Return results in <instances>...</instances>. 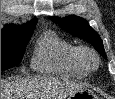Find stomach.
Masks as SVG:
<instances>
[{"label":"stomach","mask_w":115,"mask_h":99,"mask_svg":"<svg viewBox=\"0 0 115 99\" xmlns=\"http://www.w3.org/2000/svg\"><path fill=\"white\" fill-rule=\"evenodd\" d=\"M67 99H98L97 96L86 88L77 90L74 93H71Z\"/></svg>","instance_id":"stomach-1"}]
</instances>
